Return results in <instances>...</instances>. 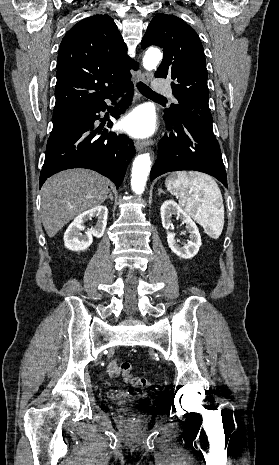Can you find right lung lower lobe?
<instances>
[{"mask_svg":"<svg viewBox=\"0 0 279 465\" xmlns=\"http://www.w3.org/2000/svg\"><path fill=\"white\" fill-rule=\"evenodd\" d=\"M132 91L133 85L130 81L118 91L80 112L75 119V125L53 146L46 149L40 173V187L51 175L70 168L92 169L108 177L117 187L121 185L126 167L135 153L133 141L125 135H116L106 129H95L94 122L99 119L97 113L107 108L104 99L115 100L118 95L128 92L112 112V116L116 117L130 104L127 97L130 98ZM111 126L112 124L109 125Z\"/></svg>","mask_w":279,"mask_h":465,"instance_id":"1","label":"right lung lower lobe"}]
</instances>
